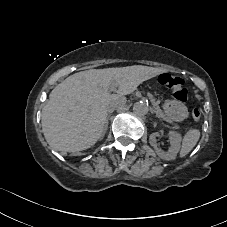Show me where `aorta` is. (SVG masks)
Listing matches in <instances>:
<instances>
[{
  "label": "aorta",
  "mask_w": 227,
  "mask_h": 227,
  "mask_svg": "<svg viewBox=\"0 0 227 227\" xmlns=\"http://www.w3.org/2000/svg\"><path fill=\"white\" fill-rule=\"evenodd\" d=\"M133 112L138 116H144L149 112V105L145 101L135 102Z\"/></svg>",
  "instance_id": "obj_1"
}]
</instances>
